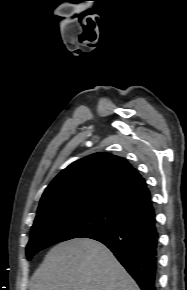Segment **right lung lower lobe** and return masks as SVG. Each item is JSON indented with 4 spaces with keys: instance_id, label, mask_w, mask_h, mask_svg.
<instances>
[{
    "instance_id": "98d812e1",
    "label": "right lung lower lobe",
    "mask_w": 187,
    "mask_h": 290,
    "mask_svg": "<svg viewBox=\"0 0 187 290\" xmlns=\"http://www.w3.org/2000/svg\"><path fill=\"white\" fill-rule=\"evenodd\" d=\"M87 238L105 244L141 290H156L159 235L154 212L134 217Z\"/></svg>"
}]
</instances>
